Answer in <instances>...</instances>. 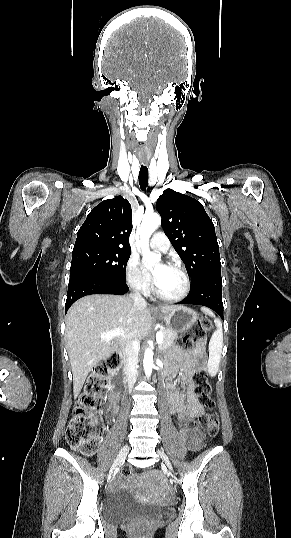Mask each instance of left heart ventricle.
<instances>
[{"mask_svg": "<svg viewBox=\"0 0 291 538\" xmlns=\"http://www.w3.org/2000/svg\"><path fill=\"white\" fill-rule=\"evenodd\" d=\"M160 268L161 265H158L154 271L160 270ZM155 285L162 294L176 296L184 289V279L178 271L170 267H165L160 271Z\"/></svg>", "mask_w": 291, "mask_h": 538, "instance_id": "obj_1", "label": "left heart ventricle"}]
</instances>
